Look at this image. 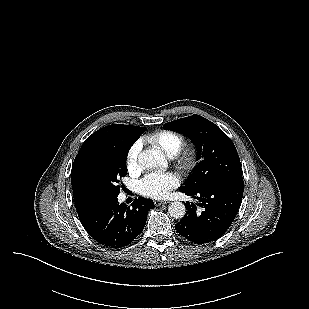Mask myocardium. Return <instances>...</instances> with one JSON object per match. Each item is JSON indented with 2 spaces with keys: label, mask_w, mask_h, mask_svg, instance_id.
I'll use <instances>...</instances> for the list:
<instances>
[{
  "label": "myocardium",
  "mask_w": 309,
  "mask_h": 309,
  "mask_svg": "<svg viewBox=\"0 0 309 309\" xmlns=\"http://www.w3.org/2000/svg\"><path fill=\"white\" fill-rule=\"evenodd\" d=\"M174 156L178 167L184 171L192 170L198 159L197 149L193 145H183Z\"/></svg>",
  "instance_id": "myocardium-1"
}]
</instances>
